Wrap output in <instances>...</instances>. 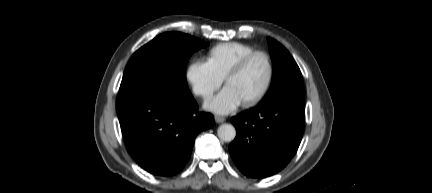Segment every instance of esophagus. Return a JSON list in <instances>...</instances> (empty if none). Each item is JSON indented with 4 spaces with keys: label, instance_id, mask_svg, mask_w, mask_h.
I'll use <instances>...</instances> for the list:
<instances>
[{
    "label": "esophagus",
    "instance_id": "esophagus-1",
    "mask_svg": "<svg viewBox=\"0 0 432 193\" xmlns=\"http://www.w3.org/2000/svg\"><path fill=\"white\" fill-rule=\"evenodd\" d=\"M215 121H216L217 123H222V122L225 121V118H224V117H221V116H215Z\"/></svg>",
    "mask_w": 432,
    "mask_h": 193
}]
</instances>
